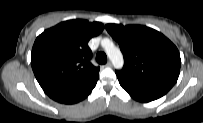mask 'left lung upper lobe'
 <instances>
[{
    "label": "left lung upper lobe",
    "mask_w": 203,
    "mask_h": 123,
    "mask_svg": "<svg viewBox=\"0 0 203 123\" xmlns=\"http://www.w3.org/2000/svg\"><path fill=\"white\" fill-rule=\"evenodd\" d=\"M119 43L124 67L117 77L167 93L177 82L181 59L176 46L160 32L141 25L107 24Z\"/></svg>",
    "instance_id": "left-lung-upper-lobe-1"
}]
</instances>
